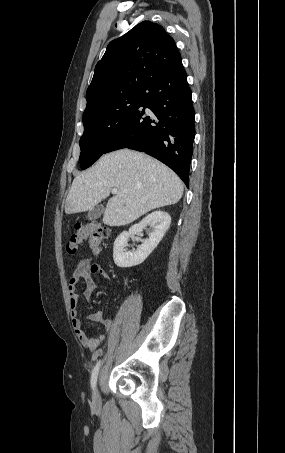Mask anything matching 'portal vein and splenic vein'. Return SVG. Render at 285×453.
I'll list each match as a JSON object with an SVG mask.
<instances>
[{"instance_id": "obj_1", "label": "portal vein and splenic vein", "mask_w": 285, "mask_h": 453, "mask_svg": "<svg viewBox=\"0 0 285 453\" xmlns=\"http://www.w3.org/2000/svg\"><path fill=\"white\" fill-rule=\"evenodd\" d=\"M111 192H112V194H117V193H118V189L113 188V189L111 190Z\"/></svg>"}]
</instances>
